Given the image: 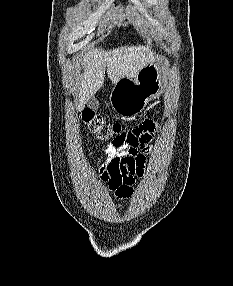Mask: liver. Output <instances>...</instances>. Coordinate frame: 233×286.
<instances>
[{
	"label": "liver",
	"instance_id": "obj_1",
	"mask_svg": "<svg viewBox=\"0 0 233 286\" xmlns=\"http://www.w3.org/2000/svg\"><path fill=\"white\" fill-rule=\"evenodd\" d=\"M153 52L145 46H124L110 51L88 47L81 55L83 74L76 101V110L82 111L86 100L93 97L102 87L105 71L112 83L121 78H135L138 72L155 61Z\"/></svg>",
	"mask_w": 233,
	"mask_h": 286
}]
</instances>
